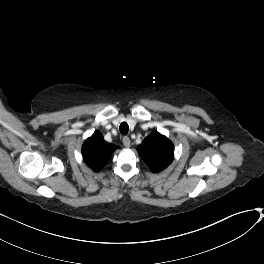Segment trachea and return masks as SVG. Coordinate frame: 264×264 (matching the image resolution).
I'll return each instance as SVG.
<instances>
[{
	"instance_id": "1",
	"label": "trachea",
	"mask_w": 264,
	"mask_h": 264,
	"mask_svg": "<svg viewBox=\"0 0 264 264\" xmlns=\"http://www.w3.org/2000/svg\"><path fill=\"white\" fill-rule=\"evenodd\" d=\"M119 129H120V132H121L123 135H126V134L128 133L129 126H128V124H127L126 122H122V123L120 124Z\"/></svg>"
}]
</instances>
